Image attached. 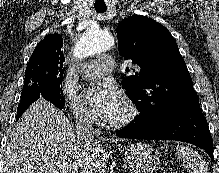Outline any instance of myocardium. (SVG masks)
Listing matches in <instances>:
<instances>
[{
    "label": "myocardium",
    "mask_w": 219,
    "mask_h": 173,
    "mask_svg": "<svg viewBox=\"0 0 219 173\" xmlns=\"http://www.w3.org/2000/svg\"><path fill=\"white\" fill-rule=\"evenodd\" d=\"M121 100L126 108V113L121 118L107 121V125L114 129H122L130 126L139 115L138 105L132 98L124 94Z\"/></svg>",
    "instance_id": "1"
}]
</instances>
